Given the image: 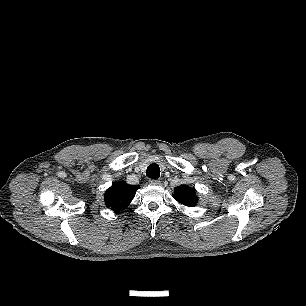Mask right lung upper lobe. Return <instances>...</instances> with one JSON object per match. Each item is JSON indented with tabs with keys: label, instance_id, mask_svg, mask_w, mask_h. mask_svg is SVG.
Instances as JSON below:
<instances>
[{
	"label": "right lung upper lobe",
	"instance_id": "obj_1",
	"mask_svg": "<svg viewBox=\"0 0 306 306\" xmlns=\"http://www.w3.org/2000/svg\"><path fill=\"white\" fill-rule=\"evenodd\" d=\"M139 185L132 186L125 182H116L105 192V203L113 211H122L130 204Z\"/></svg>",
	"mask_w": 306,
	"mask_h": 306
}]
</instances>
